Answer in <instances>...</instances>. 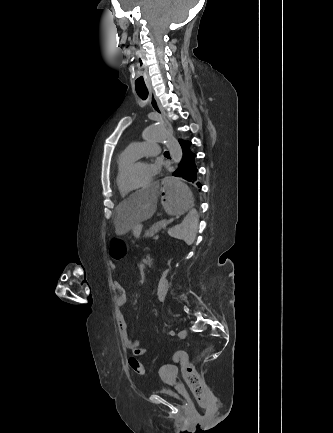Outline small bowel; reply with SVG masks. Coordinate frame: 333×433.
<instances>
[{
    "instance_id": "1",
    "label": "small bowel",
    "mask_w": 333,
    "mask_h": 433,
    "mask_svg": "<svg viewBox=\"0 0 333 433\" xmlns=\"http://www.w3.org/2000/svg\"><path fill=\"white\" fill-rule=\"evenodd\" d=\"M166 281H167V284H166V286L163 287L164 297L160 301H163L165 299V296H166L168 288H169L168 279ZM157 285H159V284H157ZM114 292H115V304L118 308H121L122 306L125 305V303L127 301V296H126L125 287L118 280L114 281ZM156 293H157V289H156ZM118 324H119L121 342H122L123 346L125 348L131 350L134 354V358H136V359L138 356L145 354L148 351V348L142 346L141 342L139 340H135V339L130 337L129 329H128V323H127V321H126V319L122 313H120V315L118 317Z\"/></svg>"
}]
</instances>
